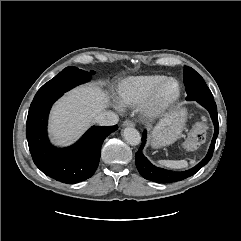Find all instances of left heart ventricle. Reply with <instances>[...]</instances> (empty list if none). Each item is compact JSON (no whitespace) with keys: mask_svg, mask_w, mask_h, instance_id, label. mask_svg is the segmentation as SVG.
Segmentation results:
<instances>
[{"mask_svg":"<svg viewBox=\"0 0 241 241\" xmlns=\"http://www.w3.org/2000/svg\"><path fill=\"white\" fill-rule=\"evenodd\" d=\"M175 93V85L173 83H167L161 90L160 99L165 100L173 96Z\"/></svg>","mask_w":241,"mask_h":241,"instance_id":"1","label":"left heart ventricle"}]
</instances>
